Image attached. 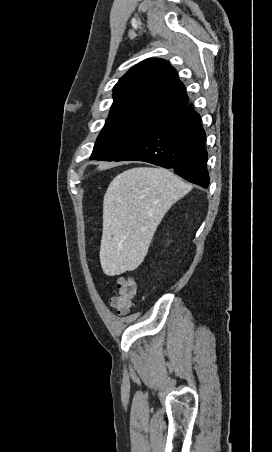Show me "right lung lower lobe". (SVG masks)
I'll list each match as a JSON object with an SVG mask.
<instances>
[{
    "label": "right lung lower lobe",
    "instance_id": "right-lung-lower-lobe-1",
    "mask_svg": "<svg viewBox=\"0 0 272 452\" xmlns=\"http://www.w3.org/2000/svg\"><path fill=\"white\" fill-rule=\"evenodd\" d=\"M205 132L192 105L160 115L146 132L114 161L136 160L172 169L182 178L207 188Z\"/></svg>",
    "mask_w": 272,
    "mask_h": 452
}]
</instances>
